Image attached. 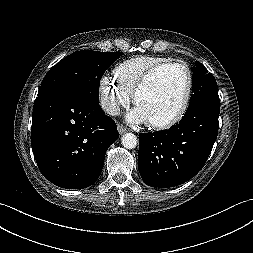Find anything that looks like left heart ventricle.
I'll use <instances>...</instances> for the list:
<instances>
[{
	"mask_svg": "<svg viewBox=\"0 0 253 253\" xmlns=\"http://www.w3.org/2000/svg\"><path fill=\"white\" fill-rule=\"evenodd\" d=\"M186 82V74L182 68H167L159 72L141 92L136 106L148 122L166 120L180 109Z\"/></svg>",
	"mask_w": 253,
	"mask_h": 253,
	"instance_id": "left-heart-ventricle-1",
	"label": "left heart ventricle"
}]
</instances>
